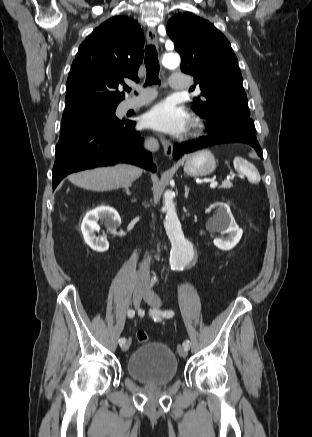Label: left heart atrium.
<instances>
[{
	"label": "left heart atrium",
	"mask_w": 312,
	"mask_h": 437,
	"mask_svg": "<svg viewBox=\"0 0 312 437\" xmlns=\"http://www.w3.org/2000/svg\"><path fill=\"white\" fill-rule=\"evenodd\" d=\"M189 120V114L169 100L158 103L145 115L149 127L171 134L185 131Z\"/></svg>",
	"instance_id": "left-heart-atrium-1"
}]
</instances>
